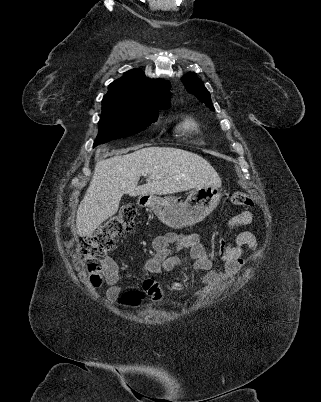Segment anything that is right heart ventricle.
<instances>
[{"instance_id": "right-heart-ventricle-1", "label": "right heart ventricle", "mask_w": 321, "mask_h": 402, "mask_svg": "<svg viewBox=\"0 0 321 402\" xmlns=\"http://www.w3.org/2000/svg\"><path fill=\"white\" fill-rule=\"evenodd\" d=\"M179 129L188 133H199L201 131V125L199 121L194 117H186L180 124Z\"/></svg>"}]
</instances>
